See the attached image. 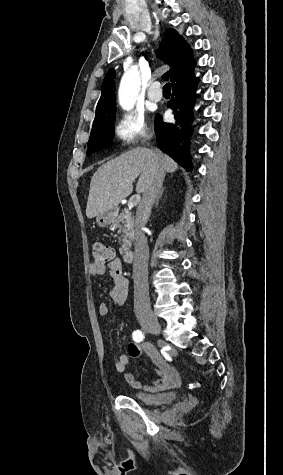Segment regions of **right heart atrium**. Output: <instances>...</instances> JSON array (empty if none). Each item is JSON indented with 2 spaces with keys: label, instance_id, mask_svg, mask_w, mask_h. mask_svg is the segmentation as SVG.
Returning <instances> with one entry per match:
<instances>
[{
  "label": "right heart atrium",
  "instance_id": "right-heart-atrium-1",
  "mask_svg": "<svg viewBox=\"0 0 283 475\" xmlns=\"http://www.w3.org/2000/svg\"><path fill=\"white\" fill-rule=\"evenodd\" d=\"M151 132L144 116L136 112L122 115L112 127L113 135L128 152L142 150L140 145Z\"/></svg>",
  "mask_w": 283,
  "mask_h": 475
}]
</instances>
